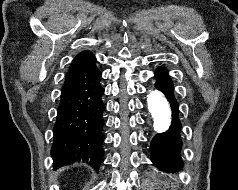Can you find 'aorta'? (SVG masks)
Wrapping results in <instances>:
<instances>
[{"mask_svg":"<svg viewBox=\"0 0 238 190\" xmlns=\"http://www.w3.org/2000/svg\"><path fill=\"white\" fill-rule=\"evenodd\" d=\"M147 104L154 121L155 131H166L171 124V108L168 100L161 91L154 89L147 95Z\"/></svg>","mask_w":238,"mask_h":190,"instance_id":"aorta-1","label":"aorta"}]
</instances>
